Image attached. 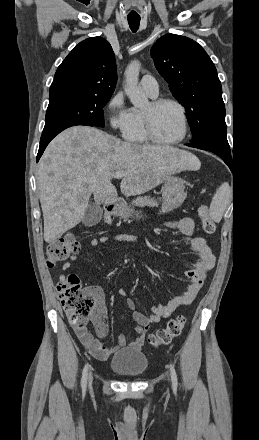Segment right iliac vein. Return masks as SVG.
<instances>
[{"label": "right iliac vein", "mask_w": 259, "mask_h": 440, "mask_svg": "<svg viewBox=\"0 0 259 440\" xmlns=\"http://www.w3.org/2000/svg\"><path fill=\"white\" fill-rule=\"evenodd\" d=\"M92 381H93V376H92V373H90L89 378H88V384H89V386H91Z\"/></svg>", "instance_id": "63e3f726"}]
</instances>
